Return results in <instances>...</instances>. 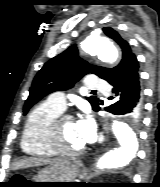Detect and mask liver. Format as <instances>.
Segmentation results:
<instances>
[{
	"label": "liver",
	"instance_id": "1",
	"mask_svg": "<svg viewBox=\"0 0 160 187\" xmlns=\"http://www.w3.org/2000/svg\"><path fill=\"white\" fill-rule=\"evenodd\" d=\"M56 160L50 159H39V158H24L21 159L13 164V170L21 169V168H28V167H35V166H42L46 164H52Z\"/></svg>",
	"mask_w": 160,
	"mask_h": 187
}]
</instances>
